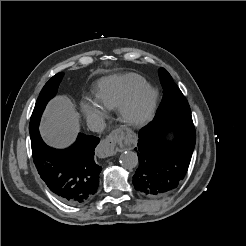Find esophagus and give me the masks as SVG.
Here are the masks:
<instances>
[{
  "mask_svg": "<svg viewBox=\"0 0 246 246\" xmlns=\"http://www.w3.org/2000/svg\"><path fill=\"white\" fill-rule=\"evenodd\" d=\"M119 131L112 132L106 139L101 140L97 147V154L101 158L113 156L116 152V139Z\"/></svg>",
  "mask_w": 246,
  "mask_h": 246,
  "instance_id": "esophagus-1",
  "label": "esophagus"
}]
</instances>
